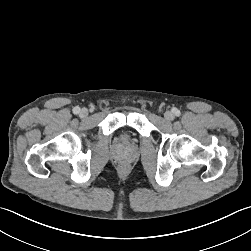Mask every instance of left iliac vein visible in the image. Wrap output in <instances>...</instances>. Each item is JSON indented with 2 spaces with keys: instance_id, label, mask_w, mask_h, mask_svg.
<instances>
[{
  "instance_id": "left-iliac-vein-1",
  "label": "left iliac vein",
  "mask_w": 251,
  "mask_h": 251,
  "mask_svg": "<svg viewBox=\"0 0 251 251\" xmlns=\"http://www.w3.org/2000/svg\"><path fill=\"white\" fill-rule=\"evenodd\" d=\"M164 117L166 120L171 121L174 119V114L171 111H166Z\"/></svg>"
}]
</instances>
